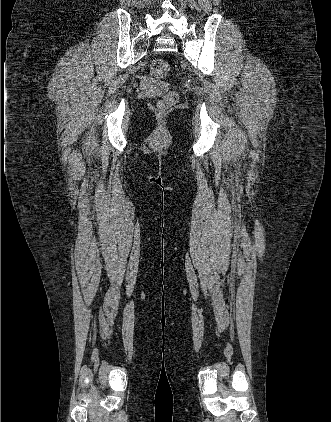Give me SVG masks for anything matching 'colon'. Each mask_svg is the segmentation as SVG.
Here are the masks:
<instances>
[{
    "label": "colon",
    "instance_id": "obj_1",
    "mask_svg": "<svg viewBox=\"0 0 331 422\" xmlns=\"http://www.w3.org/2000/svg\"><path fill=\"white\" fill-rule=\"evenodd\" d=\"M150 72L154 77H164L169 72V65L162 59H156L151 63ZM176 100L177 95L174 92H169L157 103V109L159 111H166L176 102Z\"/></svg>",
    "mask_w": 331,
    "mask_h": 422
}]
</instances>
